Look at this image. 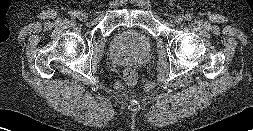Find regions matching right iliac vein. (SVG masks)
<instances>
[{
	"label": "right iliac vein",
	"instance_id": "1",
	"mask_svg": "<svg viewBox=\"0 0 253 131\" xmlns=\"http://www.w3.org/2000/svg\"><path fill=\"white\" fill-rule=\"evenodd\" d=\"M78 18H79L80 20H82V21H86V20L88 19V15H87V13H85V12H80V13L78 14Z\"/></svg>",
	"mask_w": 253,
	"mask_h": 131
}]
</instances>
